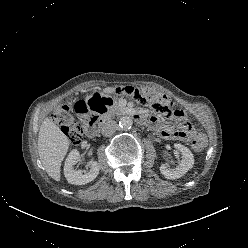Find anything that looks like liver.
I'll use <instances>...</instances> for the list:
<instances>
[{"label": "liver", "mask_w": 248, "mask_h": 248, "mask_svg": "<svg viewBox=\"0 0 248 248\" xmlns=\"http://www.w3.org/2000/svg\"><path fill=\"white\" fill-rule=\"evenodd\" d=\"M69 148L68 137L60 128L46 118L39 130L38 153L48 175L60 180L61 163Z\"/></svg>", "instance_id": "1"}]
</instances>
